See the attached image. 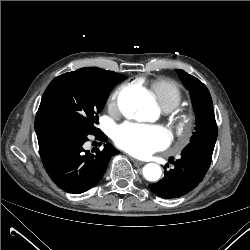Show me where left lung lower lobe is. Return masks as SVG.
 <instances>
[{
    "mask_svg": "<svg viewBox=\"0 0 250 250\" xmlns=\"http://www.w3.org/2000/svg\"><path fill=\"white\" fill-rule=\"evenodd\" d=\"M216 137L190 142L182 151L181 159L170 161L174 168L166 170L157 183L150 184V190L161 198H176L196 187L204 178L210 163Z\"/></svg>",
    "mask_w": 250,
    "mask_h": 250,
    "instance_id": "0a47b994",
    "label": "left lung lower lobe"
}]
</instances>
